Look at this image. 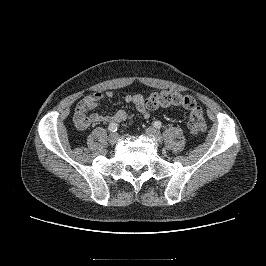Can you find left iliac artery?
I'll return each mask as SVG.
<instances>
[{
	"label": "left iliac artery",
	"mask_w": 266,
	"mask_h": 266,
	"mask_svg": "<svg viewBox=\"0 0 266 266\" xmlns=\"http://www.w3.org/2000/svg\"><path fill=\"white\" fill-rule=\"evenodd\" d=\"M153 126L159 129L162 127V123L160 121H154Z\"/></svg>",
	"instance_id": "44dca946"
}]
</instances>
